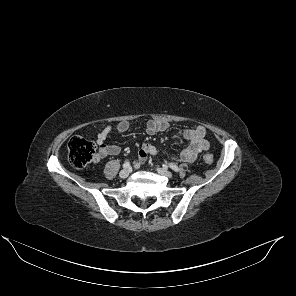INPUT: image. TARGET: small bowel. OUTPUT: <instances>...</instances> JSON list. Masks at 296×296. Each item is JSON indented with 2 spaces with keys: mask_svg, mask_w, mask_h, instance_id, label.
<instances>
[{
  "mask_svg": "<svg viewBox=\"0 0 296 296\" xmlns=\"http://www.w3.org/2000/svg\"><path fill=\"white\" fill-rule=\"evenodd\" d=\"M169 124L163 120L149 119L146 123V132L149 135H153L158 132L167 130ZM130 124L128 121H121L117 124L115 130L119 134H125L129 131ZM113 127L106 126L97 135V144L99 147V156L104 158L107 156L117 155L120 152V147L117 145H109L106 143V139L112 133ZM183 138L189 141L188 147L183 149L178 156H170L173 161L179 162H192L194 161L200 152L208 150L210 142L206 137V130L203 126H196L193 129L184 130L182 132ZM157 154V148L149 142L143 143L137 157L134 159V167L139 168L144 165L148 159V156H155Z\"/></svg>",
  "mask_w": 296,
  "mask_h": 296,
  "instance_id": "c3829d8e",
  "label": "small bowel"
}]
</instances>
